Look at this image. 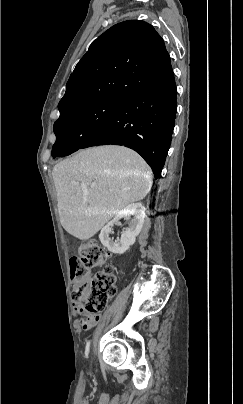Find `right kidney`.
Masks as SVG:
<instances>
[{
	"label": "right kidney",
	"instance_id": "right-kidney-1",
	"mask_svg": "<svg viewBox=\"0 0 243 404\" xmlns=\"http://www.w3.org/2000/svg\"><path fill=\"white\" fill-rule=\"evenodd\" d=\"M133 216V218H131ZM121 218H126V220H130V224L128 228H124L121 236V240L119 242H112L109 238L110 232H112V228L115 222H119ZM145 218V208L142 204H129L126 206L124 210H120V212H116L115 218L113 222H109L107 226H104L101 230V234L99 236V240L109 252H113V254H124L129 250L130 246L135 244L136 236H139L141 232V228L144 224Z\"/></svg>",
	"mask_w": 243,
	"mask_h": 404
}]
</instances>
